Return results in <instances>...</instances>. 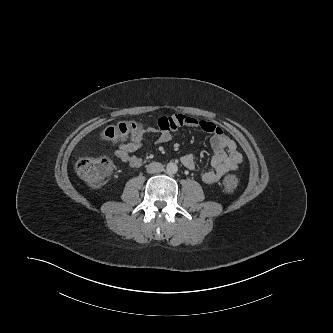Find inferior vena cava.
I'll return each mask as SVG.
<instances>
[{
  "instance_id": "obj_1",
  "label": "inferior vena cava",
  "mask_w": 333,
  "mask_h": 333,
  "mask_svg": "<svg viewBox=\"0 0 333 333\" xmlns=\"http://www.w3.org/2000/svg\"><path fill=\"white\" fill-rule=\"evenodd\" d=\"M164 170V167L159 162H152L147 166V172L150 174L160 173Z\"/></svg>"
}]
</instances>
